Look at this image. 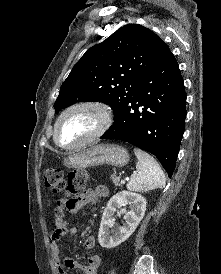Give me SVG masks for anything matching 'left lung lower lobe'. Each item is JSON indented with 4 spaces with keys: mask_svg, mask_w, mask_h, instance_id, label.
Here are the masks:
<instances>
[{
    "mask_svg": "<svg viewBox=\"0 0 221 274\" xmlns=\"http://www.w3.org/2000/svg\"><path fill=\"white\" fill-rule=\"evenodd\" d=\"M186 93L169 52L140 81L136 95L114 116L103 139L129 142L155 155L171 178L184 133Z\"/></svg>",
    "mask_w": 221,
    "mask_h": 274,
    "instance_id": "1",
    "label": "left lung lower lobe"
}]
</instances>
